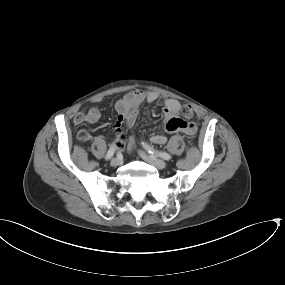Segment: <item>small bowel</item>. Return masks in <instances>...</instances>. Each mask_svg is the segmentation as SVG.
<instances>
[{"instance_id": "obj_1", "label": "small bowel", "mask_w": 285, "mask_h": 285, "mask_svg": "<svg viewBox=\"0 0 285 285\" xmlns=\"http://www.w3.org/2000/svg\"><path fill=\"white\" fill-rule=\"evenodd\" d=\"M159 99V94L155 91H130L121 97L115 104L117 119L114 125L115 134V147L121 148L124 143V127H132L138 117L139 107L142 103H154ZM182 105L174 98H165L163 100V114L164 123L163 130L168 133L184 132L190 134L187 128L193 125L190 122L184 121L180 117ZM101 118V112L98 108L92 107L87 111H78L73 116L74 124L83 123H96ZM194 127V125H193ZM195 129V128H193ZM86 135L87 140L90 138V133L87 130H81L78 134L80 141L84 140L82 137ZM86 140V141H87ZM151 141L155 144L162 145L167 141L166 136L162 134H155L151 137ZM134 145V139L128 141V147L132 148Z\"/></svg>"}]
</instances>
